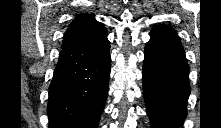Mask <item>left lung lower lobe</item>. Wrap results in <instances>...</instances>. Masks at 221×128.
I'll use <instances>...</instances> for the list:
<instances>
[{"label":"left lung lower lobe","mask_w":221,"mask_h":128,"mask_svg":"<svg viewBox=\"0 0 221 128\" xmlns=\"http://www.w3.org/2000/svg\"><path fill=\"white\" fill-rule=\"evenodd\" d=\"M145 47L143 92L152 128H179L187 115L189 68L177 32L153 28Z\"/></svg>","instance_id":"0a47b994"}]
</instances>
